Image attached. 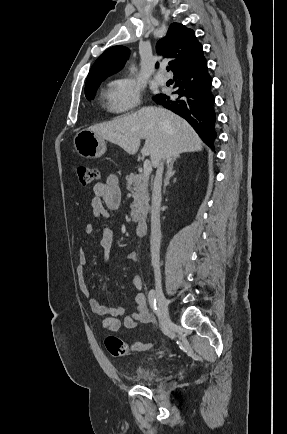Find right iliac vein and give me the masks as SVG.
I'll use <instances>...</instances> for the list:
<instances>
[{"label": "right iliac vein", "instance_id": "1", "mask_svg": "<svg viewBox=\"0 0 287 434\" xmlns=\"http://www.w3.org/2000/svg\"><path fill=\"white\" fill-rule=\"evenodd\" d=\"M156 297L158 301L159 316L163 328H166L171 323V318L168 310V301L163 293L159 283L156 285Z\"/></svg>", "mask_w": 287, "mask_h": 434}]
</instances>
